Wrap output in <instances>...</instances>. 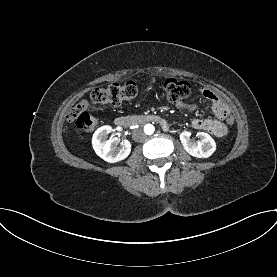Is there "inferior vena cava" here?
<instances>
[{
	"label": "inferior vena cava",
	"instance_id": "1",
	"mask_svg": "<svg viewBox=\"0 0 277 277\" xmlns=\"http://www.w3.org/2000/svg\"><path fill=\"white\" fill-rule=\"evenodd\" d=\"M146 138L145 133L141 129H134L133 131V139L136 142H143Z\"/></svg>",
	"mask_w": 277,
	"mask_h": 277
}]
</instances>
